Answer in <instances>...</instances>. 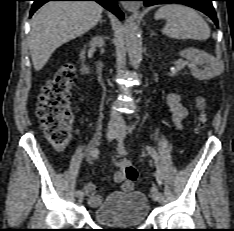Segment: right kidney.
I'll return each mask as SVG.
<instances>
[{"instance_id":"ca27d5eb","label":"right kidney","mask_w":234,"mask_h":231,"mask_svg":"<svg viewBox=\"0 0 234 231\" xmlns=\"http://www.w3.org/2000/svg\"><path fill=\"white\" fill-rule=\"evenodd\" d=\"M90 47H103L104 46V40L101 36H96L94 38H92V40L89 43ZM80 59L82 61V63H84L85 61V49H83L80 53ZM82 73H84L86 71V66L84 64H82V68H81Z\"/></svg>"}]
</instances>
